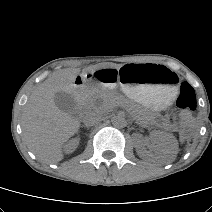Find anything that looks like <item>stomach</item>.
Instances as JSON below:
<instances>
[{"instance_id": "stomach-1", "label": "stomach", "mask_w": 212, "mask_h": 212, "mask_svg": "<svg viewBox=\"0 0 212 212\" xmlns=\"http://www.w3.org/2000/svg\"><path fill=\"white\" fill-rule=\"evenodd\" d=\"M91 82H105L114 90L152 110L163 109L174 100L177 76L163 65H120L106 69L91 67L86 72Z\"/></svg>"}]
</instances>
